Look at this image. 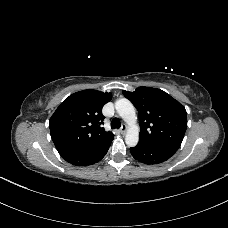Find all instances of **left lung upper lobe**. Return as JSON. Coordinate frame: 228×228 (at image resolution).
Masks as SVG:
<instances>
[{
	"mask_svg": "<svg viewBox=\"0 0 228 228\" xmlns=\"http://www.w3.org/2000/svg\"><path fill=\"white\" fill-rule=\"evenodd\" d=\"M139 113L141 145L161 146L178 150L186 128L184 106L166 92L139 87L134 92L123 91Z\"/></svg>",
	"mask_w": 228,
	"mask_h": 228,
	"instance_id": "obj_1",
	"label": "left lung upper lobe"
}]
</instances>
